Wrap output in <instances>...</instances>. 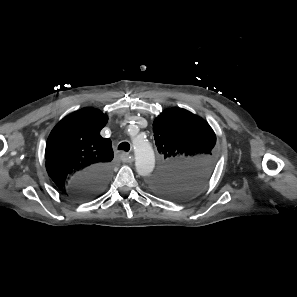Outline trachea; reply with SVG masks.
Returning <instances> with one entry per match:
<instances>
[{
  "instance_id": "1",
  "label": "trachea",
  "mask_w": 297,
  "mask_h": 297,
  "mask_svg": "<svg viewBox=\"0 0 297 297\" xmlns=\"http://www.w3.org/2000/svg\"><path fill=\"white\" fill-rule=\"evenodd\" d=\"M118 150H123L128 152L130 150V144L128 142H122L119 144Z\"/></svg>"
}]
</instances>
